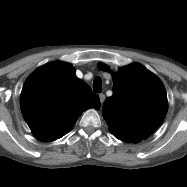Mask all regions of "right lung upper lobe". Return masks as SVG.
Masks as SVG:
<instances>
[{
	"label": "right lung upper lobe",
	"instance_id": "cb5924a9",
	"mask_svg": "<svg viewBox=\"0 0 187 187\" xmlns=\"http://www.w3.org/2000/svg\"><path fill=\"white\" fill-rule=\"evenodd\" d=\"M20 106L34 136L53 141L68 133L82 112L100 108V100L70 64L56 61L37 68L27 78Z\"/></svg>",
	"mask_w": 187,
	"mask_h": 187
}]
</instances>
